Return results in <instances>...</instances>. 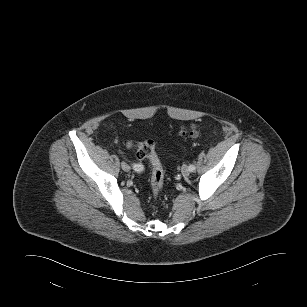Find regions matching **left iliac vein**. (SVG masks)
Segmentation results:
<instances>
[{
  "mask_svg": "<svg viewBox=\"0 0 307 307\" xmlns=\"http://www.w3.org/2000/svg\"><path fill=\"white\" fill-rule=\"evenodd\" d=\"M190 169H189V167L187 166V165H183L182 166V168H181V173H182V175L184 176V177H187V176H189V174H190Z\"/></svg>",
  "mask_w": 307,
  "mask_h": 307,
  "instance_id": "left-iliac-vein-1",
  "label": "left iliac vein"
}]
</instances>
